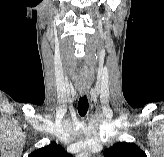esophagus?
I'll list each match as a JSON object with an SVG mask.
<instances>
[{
  "label": "esophagus",
  "mask_w": 164,
  "mask_h": 157,
  "mask_svg": "<svg viewBox=\"0 0 164 157\" xmlns=\"http://www.w3.org/2000/svg\"><path fill=\"white\" fill-rule=\"evenodd\" d=\"M88 93H89L88 90H85V89L79 90V94H80L81 96L87 95Z\"/></svg>",
  "instance_id": "esophagus-1"
}]
</instances>
